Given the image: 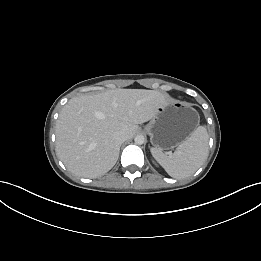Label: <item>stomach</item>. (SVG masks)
Here are the masks:
<instances>
[{
    "mask_svg": "<svg viewBox=\"0 0 261 261\" xmlns=\"http://www.w3.org/2000/svg\"><path fill=\"white\" fill-rule=\"evenodd\" d=\"M199 121V114L194 108L179 101H169L158 108L145 131L155 148L166 150L189 138Z\"/></svg>",
    "mask_w": 261,
    "mask_h": 261,
    "instance_id": "0dacf381",
    "label": "stomach"
}]
</instances>
